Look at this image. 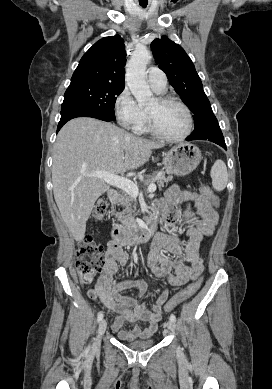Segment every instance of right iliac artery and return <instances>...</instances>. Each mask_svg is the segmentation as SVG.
Here are the masks:
<instances>
[{
	"label": "right iliac artery",
	"instance_id": "82829eb1",
	"mask_svg": "<svg viewBox=\"0 0 272 389\" xmlns=\"http://www.w3.org/2000/svg\"><path fill=\"white\" fill-rule=\"evenodd\" d=\"M103 316H104V315H103V312H100V313L98 314V317H97L98 322H100V321L103 319ZM89 349H90V346L87 348L86 352H88Z\"/></svg>",
	"mask_w": 272,
	"mask_h": 389
}]
</instances>
